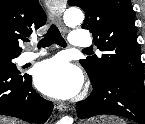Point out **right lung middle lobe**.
Returning <instances> with one entry per match:
<instances>
[{"label":"right lung middle lobe","mask_w":145,"mask_h":124,"mask_svg":"<svg viewBox=\"0 0 145 124\" xmlns=\"http://www.w3.org/2000/svg\"><path fill=\"white\" fill-rule=\"evenodd\" d=\"M17 56L18 55H13V54L0 51V65L7 66L13 70H18L16 65L12 62V60L16 58Z\"/></svg>","instance_id":"right-lung-middle-lobe-1"}]
</instances>
